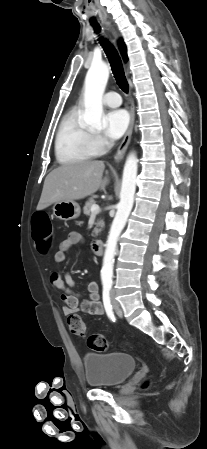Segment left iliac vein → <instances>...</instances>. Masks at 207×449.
Segmentation results:
<instances>
[{
  "instance_id": "left-iliac-vein-1",
  "label": "left iliac vein",
  "mask_w": 207,
  "mask_h": 449,
  "mask_svg": "<svg viewBox=\"0 0 207 449\" xmlns=\"http://www.w3.org/2000/svg\"><path fill=\"white\" fill-rule=\"evenodd\" d=\"M112 302H113V306H114V307H117V302H116L115 299H114V294H112Z\"/></svg>"
}]
</instances>
